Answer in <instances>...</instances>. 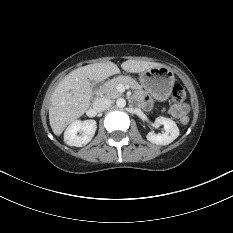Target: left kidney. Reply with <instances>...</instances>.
I'll return each instance as SVG.
<instances>
[{
  "label": "left kidney",
  "instance_id": "obj_1",
  "mask_svg": "<svg viewBox=\"0 0 233 233\" xmlns=\"http://www.w3.org/2000/svg\"><path fill=\"white\" fill-rule=\"evenodd\" d=\"M155 122L156 124L163 125L165 132L162 134L149 132L147 134V140L151 143L157 145H168L179 136V128L173 120L165 117H158Z\"/></svg>",
  "mask_w": 233,
  "mask_h": 233
}]
</instances>
